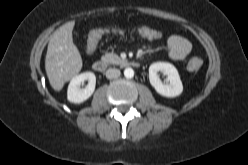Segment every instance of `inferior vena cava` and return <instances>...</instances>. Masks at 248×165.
Listing matches in <instances>:
<instances>
[{
  "label": "inferior vena cava",
  "mask_w": 248,
  "mask_h": 165,
  "mask_svg": "<svg viewBox=\"0 0 248 165\" xmlns=\"http://www.w3.org/2000/svg\"><path fill=\"white\" fill-rule=\"evenodd\" d=\"M121 72L119 69L116 68H110L106 71V77L108 79H115L118 78L120 76Z\"/></svg>",
  "instance_id": "obj_1"
}]
</instances>
